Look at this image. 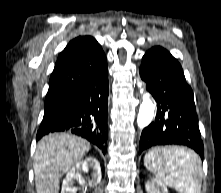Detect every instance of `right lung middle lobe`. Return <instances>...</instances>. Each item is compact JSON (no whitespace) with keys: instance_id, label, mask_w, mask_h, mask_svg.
Returning <instances> with one entry per match:
<instances>
[{"instance_id":"right-lung-middle-lobe-1","label":"right lung middle lobe","mask_w":221,"mask_h":193,"mask_svg":"<svg viewBox=\"0 0 221 193\" xmlns=\"http://www.w3.org/2000/svg\"><path fill=\"white\" fill-rule=\"evenodd\" d=\"M67 100L47 101L44 104L45 112L43 120H48L66 109Z\"/></svg>"}]
</instances>
